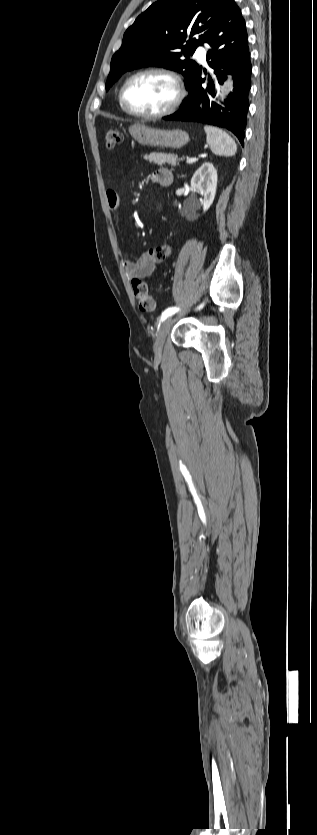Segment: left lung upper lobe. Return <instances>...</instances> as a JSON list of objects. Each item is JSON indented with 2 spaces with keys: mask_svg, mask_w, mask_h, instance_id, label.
Segmentation results:
<instances>
[{
  "mask_svg": "<svg viewBox=\"0 0 317 835\" xmlns=\"http://www.w3.org/2000/svg\"><path fill=\"white\" fill-rule=\"evenodd\" d=\"M229 1L153 3L126 30L121 48L112 57L106 91L126 71L146 66L175 70L185 77L187 85L199 67L189 56L219 27Z\"/></svg>",
  "mask_w": 317,
  "mask_h": 835,
  "instance_id": "1",
  "label": "left lung upper lobe"
}]
</instances>
